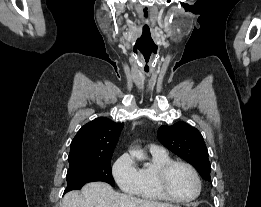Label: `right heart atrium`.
Instances as JSON below:
<instances>
[{
	"label": "right heart atrium",
	"mask_w": 261,
	"mask_h": 207,
	"mask_svg": "<svg viewBox=\"0 0 261 207\" xmlns=\"http://www.w3.org/2000/svg\"><path fill=\"white\" fill-rule=\"evenodd\" d=\"M113 177L119 188L130 195L137 194L140 185L139 169L129 154H122L112 166Z\"/></svg>",
	"instance_id": "obj_1"
}]
</instances>
